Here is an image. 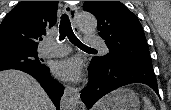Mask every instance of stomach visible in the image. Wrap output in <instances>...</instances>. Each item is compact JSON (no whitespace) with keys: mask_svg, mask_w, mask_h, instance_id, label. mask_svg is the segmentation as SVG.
Segmentation results:
<instances>
[{"mask_svg":"<svg viewBox=\"0 0 171 110\" xmlns=\"http://www.w3.org/2000/svg\"><path fill=\"white\" fill-rule=\"evenodd\" d=\"M101 107L99 110H140V102L137 95L126 88H120L100 102Z\"/></svg>","mask_w":171,"mask_h":110,"instance_id":"obj_1","label":"stomach"}]
</instances>
